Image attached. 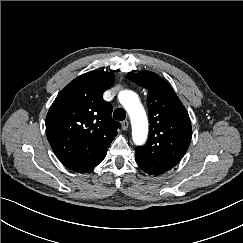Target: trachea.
<instances>
[{
	"instance_id": "trachea-1",
	"label": "trachea",
	"mask_w": 243,
	"mask_h": 243,
	"mask_svg": "<svg viewBox=\"0 0 243 243\" xmlns=\"http://www.w3.org/2000/svg\"><path fill=\"white\" fill-rule=\"evenodd\" d=\"M113 118L118 121H123L126 118V112L123 108H117L113 113Z\"/></svg>"
}]
</instances>
